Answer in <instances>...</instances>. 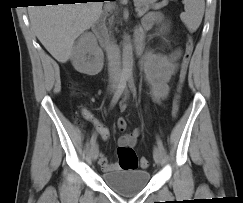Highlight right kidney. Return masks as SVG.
<instances>
[{"label": "right kidney", "mask_w": 243, "mask_h": 203, "mask_svg": "<svg viewBox=\"0 0 243 203\" xmlns=\"http://www.w3.org/2000/svg\"><path fill=\"white\" fill-rule=\"evenodd\" d=\"M104 56L92 33L81 35L72 54L74 68L83 74L96 75L103 68Z\"/></svg>", "instance_id": "obj_1"}]
</instances>
